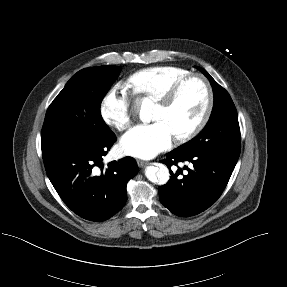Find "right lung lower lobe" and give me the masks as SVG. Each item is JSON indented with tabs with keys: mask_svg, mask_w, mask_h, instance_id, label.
Listing matches in <instances>:
<instances>
[{
	"mask_svg": "<svg viewBox=\"0 0 287 287\" xmlns=\"http://www.w3.org/2000/svg\"><path fill=\"white\" fill-rule=\"evenodd\" d=\"M116 136L82 146L42 154L47 175L64 203L80 217L101 222L120 211L127 199L126 185L138 172L136 160L125 157L112 161L101 172L102 157Z\"/></svg>",
	"mask_w": 287,
	"mask_h": 287,
	"instance_id": "obj_1",
	"label": "right lung lower lobe"
}]
</instances>
